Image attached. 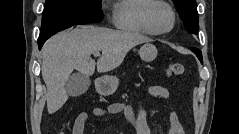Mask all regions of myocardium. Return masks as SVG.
<instances>
[{
  "mask_svg": "<svg viewBox=\"0 0 239 134\" xmlns=\"http://www.w3.org/2000/svg\"><path fill=\"white\" fill-rule=\"evenodd\" d=\"M157 6H163L171 13L172 23H171V26L166 30H159L158 28H156V26L154 24L153 12ZM144 21H145L146 25L150 28V30L153 32V34L166 35V34L170 33L175 28L176 22H177V16H176L174 9L168 2L151 0L145 8Z\"/></svg>",
  "mask_w": 239,
  "mask_h": 134,
  "instance_id": "myocardium-1",
  "label": "myocardium"
}]
</instances>
